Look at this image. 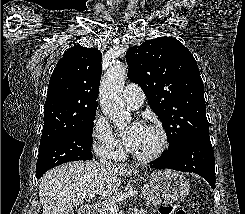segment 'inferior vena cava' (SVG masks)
Instances as JSON below:
<instances>
[{"label":"inferior vena cava","instance_id":"602c4592","mask_svg":"<svg viewBox=\"0 0 245 214\" xmlns=\"http://www.w3.org/2000/svg\"><path fill=\"white\" fill-rule=\"evenodd\" d=\"M100 162L102 163V165H105V166L111 165V162L107 161L105 157H101Z\"/></svg>","mask_w":245,"mask_h":214}]
</instances>
